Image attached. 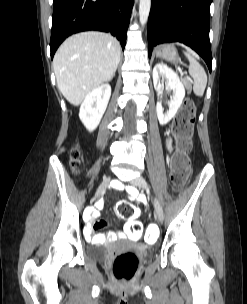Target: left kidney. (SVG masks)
<instances>
[{"label": "left kidney", "mask_w": 247, "mask_h": 304, "mask_svg": "<svg viewBox=\"0 0 247 304\" xmlns=\"http://www.w3.org/2000/svg\"><path fill=\"white\" fill-rule=\"evenodd\" d=\"M160 77L166 79V86L173 90V97L169 102V110L163 113L161 102L156 105L157 117L161 125L167 124L177 113L185 97V88L178 75L167 65L158 63L153 68V83L157 93H162L163 86Z\"/></svg>", "instance_id": "obj_1"}]
</instances>
